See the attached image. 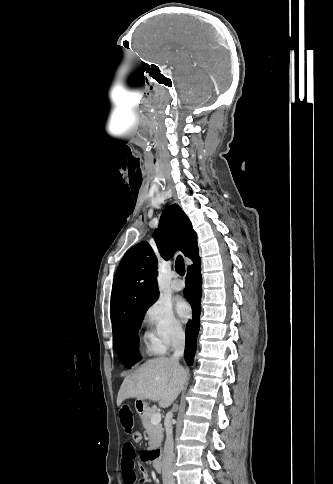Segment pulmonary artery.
Segmentation results:
<instances>
[{
  "mask_svg": "<svg viewBox=\"0 0 333 484\" xmlns=\"http://www.w3.org/2000/svg\"><path fill=\"white\" fill-rule=\"evenodd\" d=\"M171 287L175 291H180L184 287V282L179 278L177 274L173 275V280L171 282Z\"/></svg>",
  "mask_w": 333,
  "mask_h": 484,
  "instance_id": "pulmonary-artery-1",
  "label": "pulmonary artery"
}]
</instances>
